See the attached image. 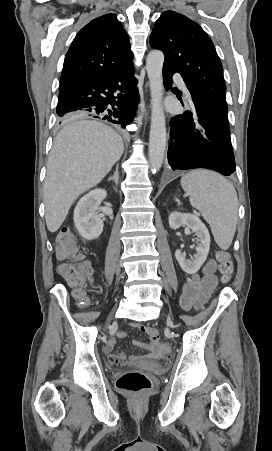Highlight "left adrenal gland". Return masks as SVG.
<instances>
[{"label": "left adrenal gland", "instance_id": "obj_1", "mask_svg": "<svg viewBox=\"0 0 272 451\" xmlns=\"http://www.w3.org/2000/svg\"><path fill=\"white\" fill-rule=\"evenodd\" d=\"M175 202H178V198H175Z\"/></svg>", "mask_w": 272, "mask_h": 451}]
</instances>
